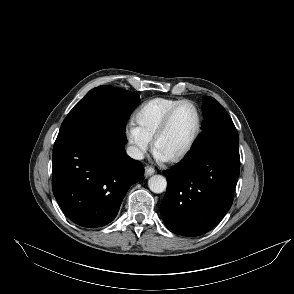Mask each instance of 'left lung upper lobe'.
<instances>
[{"mask_svg": "<svg viewBox=\"0 0 294 294\" xmlns=\"http://www.w3.org/2000/svg\"><path fill=\"white\" fill-rule=\"evenodd\" d=\"M202 112L205 119L202 132L220 127H235L223 106L212 97L203 99Z\"/></svg>", "mask_w": 294, "mask_h": 294, "instance_id": "left-lung-upper-lobe-1", "label": "left lung upper lobe"}]
</instances>
